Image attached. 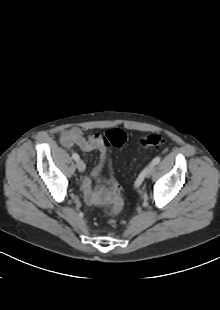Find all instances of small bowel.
Returning a JSON list of instances; mask_svg holds the SVG:
<instances>
[{
    "instance_id": "small-bowel-1",
    "label": "small bowel",
    "mask_w": 220,
    "mask_h": 310,
    "mask_svg": "<svg viewBox=\"0 0 220 310\" xmlns=\"http://www.w3.org/2000/svg\"><path fill=\"white\" fill-rule=\"evenodd\" d=\"M60 143L66 148L77 146L85 154L95 150L99 151V163L92 169L89 175L82 178L81 188L84 199L88 204L102 206L111 194L104 183L98 188L93 187V180L98 179L107 160L101 135L98 133L85 134L79 127H72L61 133Z\"/></svg>"
}]
</instances>
